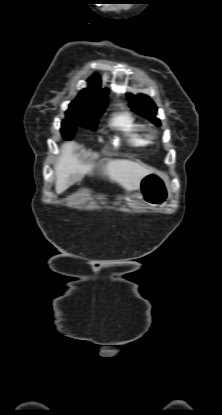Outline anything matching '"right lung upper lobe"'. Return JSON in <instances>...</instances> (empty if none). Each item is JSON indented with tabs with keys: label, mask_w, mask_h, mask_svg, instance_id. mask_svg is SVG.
<instances>
[{
	"label": "right lung upper lobe",
	"mask_w": 222,
	"mask_h": 415,
	"mask_svg": "<svg viewBox=\"0 0 222 415\" xmlns=\"http://www.w3.org/2000/svg\"><path fill=\"white\" fill-rule=\"evenodd\" d=\"M88 83V88L79 92L78 96L71 102L69 108L105 109L108 89L101 88V80L98 75H93L89 78Z\"/></svg>",
	"instance_id": "1"
}]
</instances>
